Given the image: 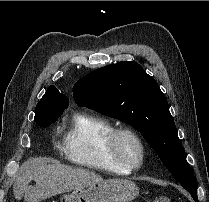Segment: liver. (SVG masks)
I'll list each match as a JSON object with an SVG mask.
<instances>
[{"mask_svg": "<svg viewBox=\"0 0 209 202\" xmlns=\"http://www.w3.org/2000/svg\"><path fill=\"white\" fill-rule=\"evenodd\" d=\"M35 186H29L31 181ZM103 181L93 172L59 163L49 164L42 158L26 161L16 175L13 192L16 200L40 202L52 196Z\"/></svg>", "mask_w": 209, "mask_h": 202, "instance_id": "1", "label": "liver"}]
</instances>
